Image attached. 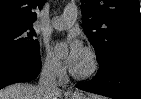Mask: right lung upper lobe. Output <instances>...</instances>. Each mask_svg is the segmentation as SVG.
<instances>
[{
    "instance_id": "right-lung-upper-lobe-1",
    "label": "right lung upper lobe",
    "mask_w": 141,
    "mask_h": 99,
    "mask_svg": "<svg viewBox=\"0 0 141 99\" xmlns=\"http://www.w3.org/2000/svg\"><path fill=\"white\" fill-rule=\"evenodd\" d=\"M45 0H0V23L23 22L33 24L37 19L36 8L41 9Z\"/></svg>"
}]
</instances>
